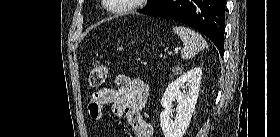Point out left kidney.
Wrapping results in <instances>:
<instances>
[{"mask_svg":"<svg viewBox=\"0 0 280 137\" xmlns=\"http://www.w3.org/2000/svg\"><path fill=\"white\" fill-rule=\"evenodd\" d=\"M202 70L195 67L171 82L163 94L160 114L161 128L165 137H183L188 128L200 90ZM184 87L185 91H180ZM177 101V115L171 119L172 102Z\"/></svg>","mask_w":280,"mask_h":137,"instance_id":"left-kidney-1","label":"left kidney"}]
</instances>
